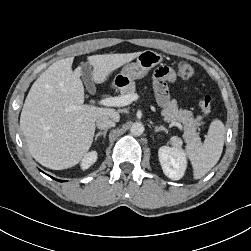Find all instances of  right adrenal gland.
I'll return each mask as SVG.
<instances>
[{
  "instance_id": "obj_1",
  "label": "right adrenal gland",
  "mask_w": 251,
  "mask_h": 251,
  "mask_svg": "<svg viewBox=\"0 0 251 251\" xmlns=\"http://www.w3.org/2000/svg\"><path fill=\"white\" fill-rule=\"evenodd\" d=\"M106 134H107V130H104L103 132H98L96 135H95V141H97L98 137L99 136H102L105 138L106 137Z\"/></svg>"
}]
</instances>
